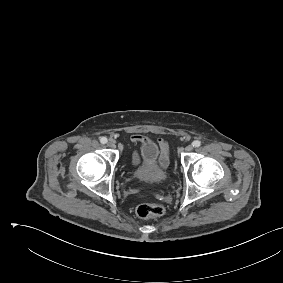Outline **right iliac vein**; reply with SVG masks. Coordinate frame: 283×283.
<instances>
[{
  "label": "right iliac vein",
  "instance_id": "right-iliac-vein-1",
  "mask_svg": "<svg viewBox=\"0 0 283 283\" xmlns=\"http://www.w3.org/2000/svg\"><path fill=\"white\" fill-rule=\"evenodd\" d=\"M107 146L110 147V148H115L116 147V144L113 140H110L108 143H107Z\"/></svg>",
  "mask_w": 283,
  "mask_h": 283
}]
</instances>
